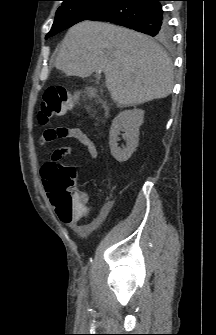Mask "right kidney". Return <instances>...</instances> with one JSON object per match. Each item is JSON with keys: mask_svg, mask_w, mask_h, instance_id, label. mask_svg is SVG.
<instances>
[{"mask_svg": "<svg viewBox=\"0 0 216 335\" xmlns=\"http://www.w3.org/2000/svg\"><path fill=\"white\" fill-rule=\"evenodd\" d=\"M144 119V111L142 109L125 110L120 112L113 120L109 133V145L112 156L118 162L127 161L139 141V127L142 125ZM126 140V147H118V140L120 132Z\"/></svg>", "mask_w": 216, "mask_h": 335, "instance_id": "ca27d5eb", "label": "right kidney"}]
</instances>
